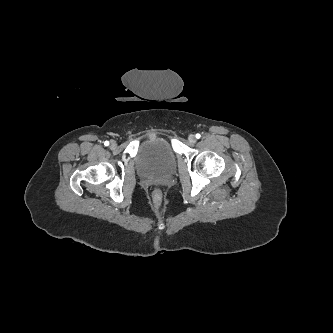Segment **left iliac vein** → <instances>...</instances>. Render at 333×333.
<instances>
[{
    "label": "left iliac vein",
    "mask_w": 333,
    "mask_h": 333,
    "mask_svg": "<svg viewBox=\"0 0 333 333\" xmlns=\"http://www.w3.org/2000/svg\"><path fill=\"white\" fill-rule=\"evenodd\" d=\"M188 140H189L190 143H195L196 142L195 135H193V134L189 135Z\"/></svg>",
    "instance_id": "4c4485c4"
}]
</instances>
